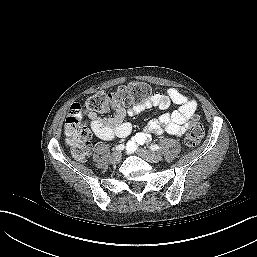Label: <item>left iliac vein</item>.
<instances>
[{
	"label": "left iliac vein",
	"mask_w": 257,
	"mask_h": 257,
	"mask_svg": "<svg viewBox=\"0 0 257 257\" xmlns=\"http://www.w3.org/2000/svg\"><path fill=\"white\" fill-rule=\"evenodd\" d=\"M138 154L145 160L152 162V163H157L162 160V156L160 154L151 152V151H147L144 149H138Z\"/></svg>",
	"instance_id": "1"
}]
</instances>
